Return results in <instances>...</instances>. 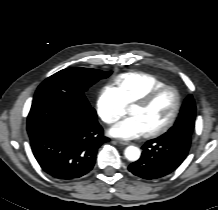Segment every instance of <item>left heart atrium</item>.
I'll list each match as a JSON object with an SVG mask.
<instances>
[{"label":"left heart atrium","instance_id":"1","mask_svg":"<svg viewBox=\"0 0 218 210\" xmlns=\"http://www.w3.org/2000/svg\"><path fill=\"white\" fill-rule=\"evenodd\" d=\"M109 133L122 139H134L145 135L147 129L139 117L131 116L114 125Z\"/></svg>","mask_w":218,"mask_h":210}]
</instances>
